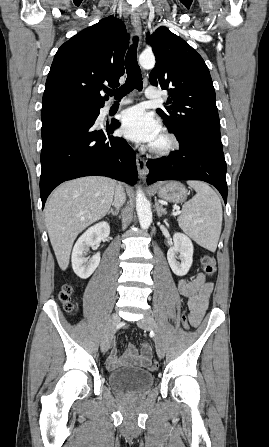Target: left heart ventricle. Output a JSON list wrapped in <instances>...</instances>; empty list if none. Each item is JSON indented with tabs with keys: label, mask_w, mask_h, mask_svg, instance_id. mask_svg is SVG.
<instances>
[{
	"label": "left heart ventricle",
	"mask_w": 269,
	"mask_h": 447,
	"mask_svg": "<svg viewBox=\"0 0 269 447\" xmlns=\"http://www.w3.org/2000/svg\"><path fill=\"white\" fill-rule=\"evenodd\" d=\"M167 145V139L165 135L161 132V134L150 144V146L154 149H162Z\"/></svg>",
	"instance_id": "left-heart-ventricle-1"
}]
</instances>
